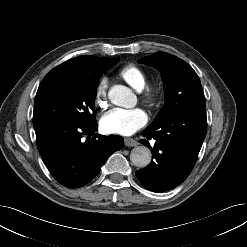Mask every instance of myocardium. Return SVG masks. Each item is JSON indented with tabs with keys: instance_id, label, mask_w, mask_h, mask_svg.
Segmentation results:
<instances>
[{
	"instance_id": "obj_1",
	"label": "myocardium",
	"mask_w": 247,
	"mask_h": 247,
	"mask_svg": "<svg viewBox=\"0 0 247 247\" xmlns=\"http://www.w3.org/2000/svg\"><path fill=\"white\" fill-rule=\"evenodd\" d=\"M164 88L159 80L146 84L141 91V101L148 108L155 109L162 103Z\"/></svg>"
}]
</instances>
